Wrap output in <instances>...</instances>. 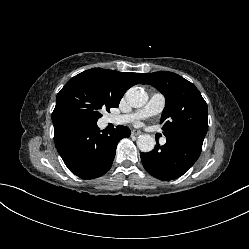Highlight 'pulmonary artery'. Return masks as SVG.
<instances>
[{
  "instance_id": "1",
  "label": "pulmonary artery",
  "mask_w": 249,
  "mask_h": 249,
  "mask_svg": "<svg viewBox=\"0 0 249 249\" xmlns=\"http://www.w3.org/2000/svg\"><path fill=\"white\" fill-rule=\"evenodd\" d=\"M165 106V97L161 93H154L148 103L140 110L135 113L126 114L122 116H110L108 121L114 124H124L134 119L144 118L148 116H153L160 113ZM161 144L166 143V139L162 138L160 140Z\"/></svg>"
}]
</instances>
